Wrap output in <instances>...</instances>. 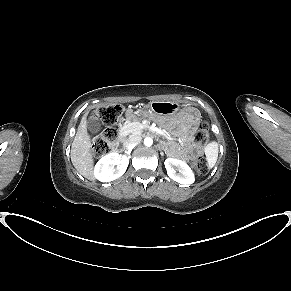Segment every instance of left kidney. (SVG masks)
Here are the masks:
<instances>
[{"mask_svg": "<svg viewBox=\"0 0 291 291\" xmlns=\"http://www.w3.org/2000/svg\"><path fill=\"white\" fill-rule=\"evenodd\" d=\"M164 164L167 174L172 180L183 185H190L194 183V173L184 161L175 158H167ZM175 168L179 171V173L176 172Z\"/></svg>", "mask_w": 291, "mask_h": 291, "instance_id": "obj_1", "label": "left kidney"}]
</instances>
